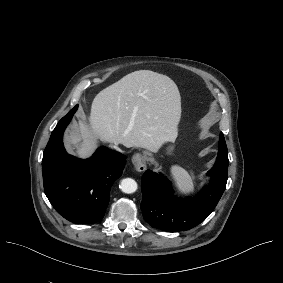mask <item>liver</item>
Here are the masks:
<instances>
[{
    "mask_svg": "<svg viewBox=\"0 0 283 283\" xmlns=\"http://www.w3.org/2000/svg\"><path fill=\"white\" fill-rule=\"evenodd\" d=\"M180 117L175 82L150 70L134 71L95 96L90 116L81 115L79 132L71 133L68 142L81 158L93 153L97 139L157 152L177 138Z\"/></svg>",
    "mask_w": 283,
    "mask_h": 283,
    "instance_id": "6515ba94",
    "label": "liver"
}]
</instances>
